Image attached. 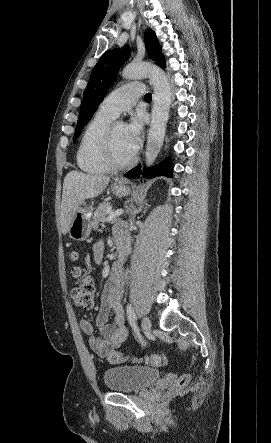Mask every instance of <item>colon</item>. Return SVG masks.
Instances as JSON below:
<instances>
[{"mask_svg":"<svg viewBox=\"0 0 271 443\" xmlns=\"http://www.w3.org/2000/svg\"><path fill=\"white\" fill-rule=\"evenodd\" d=\"M73 260H78L79 255L73 252L71 255ZM71 275L77 280L76 284L71 290V296L74 303L84 309H91L94 304L95 287L91 277L89 276L88 266H74L71 270ZM107 359L112 364H118L125 361H140L150 363L152 365H162L165 363L166 359L161 354H152L145 357H132L124 355L118 351H110L107 354ZM190 381L189 374L181 375L174 383L175 390H181L187 386Z\"/></svg>","mask_w":271,"mask_h":443,"instance_id":"colon-1","label":"colon"}]
</instances>
